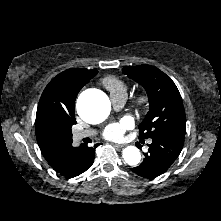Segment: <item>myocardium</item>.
Instances as JSON below:
<instances>
[{"label":"myocardium","mask_w":221,"mask_h":221,"mask_svg":"<svg viewBox=\"0 0 221 221\" xmlns=\"http://www.w3.org/2000/svg\"><path fill=\"white\" fill-rule=\"evenodd\" d=\"M135 103L141 110H146L150 103L149 95L146 92L139 93L135 98Z\"/></svg>","instance_id":"1"}]
</instances>
